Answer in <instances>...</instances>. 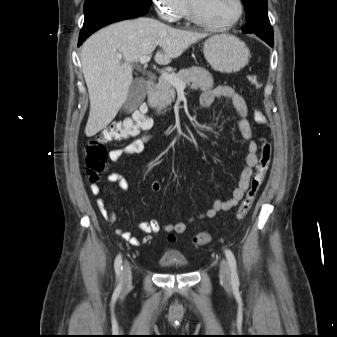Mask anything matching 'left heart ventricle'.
Returning <instances> with one entry per match:
<instances>
[{
  "mask_svg": "<svg viewBox=\"0 0 337 337\" xmlns=\"http://www.w3.org/2000/svg\"><path fill=\"white\" fill-rule=\"evenodd\" d=\"M198 13L213 23H226L236 14L235 0H192Z\"/></svg>",
  "mask_w": 337,
  "mask_h": 337,
  "instance_id": "1",
  "label": "left heart ventricle"
}]
</instances>
